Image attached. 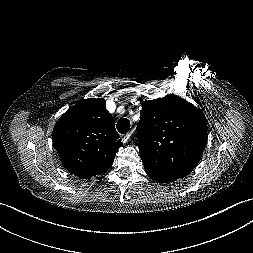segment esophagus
Returning <instances> with one entry per match:
<instances>
[{
    "instance_id": "34e87169",
    "label": "esophagus",
    "mask_w": 253,
    "mask_h": 253,
    "mask_svg": "<svg viewBox=\"0 0 253 253\" xmlns=\"http://www.w3.org/2000/svg\"><path fill=\"white\" fill-rule=\"evenodd\" d=\"M131 137V132L122 137V142L127 143Z\"/></svg>"
}]
</instances>
